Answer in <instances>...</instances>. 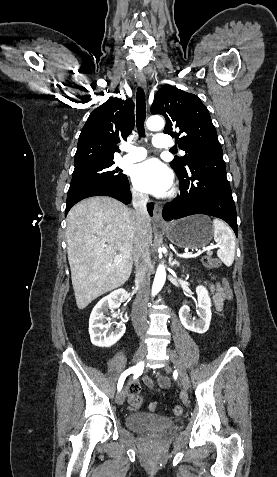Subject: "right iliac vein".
Masks as SVG:
<instances>
[{"instance_id":"1","label":"right iliac vein","mask_w":277,"mask_h":477,"mask_svg":"<svg viewBox=\"0 0 277 477\" xmlns=\"http://www.w3.org/2000/svg\"><path fill=\"white\" fill-rule=\"evenodd\" d=\"M145 355H146V346L144 344H141L133 356V362L140 363L144 359ZM125 396H126L125 389L123 388L122 390L119 391V393L116 396V403L118 405L123 404L125 400Z\"/></svg>"}]
</instances>
